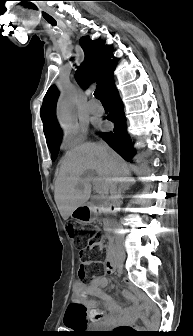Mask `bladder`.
I'll use <instances>...</instances> for the list:
<instances>
[{
    "label": "bladder",
    "mask_w": 193,
    "mask_h": 336,
    "mask_svg": "<svg viewBox=\"0 0 193 336\" xmlns=\"http://www.w3.org/2000/svg\"><path fill=\"white\" fill-rule=\"evenodd\" d=\"M95 326H97V323H93V324H89V325H87L88 328H93V327H95Z\"/></svg>",
    "instance_id": "bladder-1"
}]
</instances>
